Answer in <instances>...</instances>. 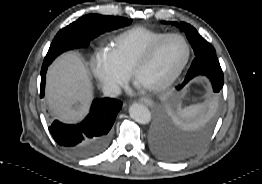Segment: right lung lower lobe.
<instances>
[{"label": "right lung lower lobe", "instance_id": "1", "mask_svg": "<svg viewBox=\"0 0 262 184\" xmlns=\"http://www.w3.org/2000/svg\"><path fill=\"white\" fill-rule=\"evenodd\" d=\"M47 65L41 69L40 96H44ZM122 103L116 99H95L90 113L79 124L67 125L52 121L49 131L55 141L68 152L79 157H93L102 153L111 140V128Z\"/></svg>", "mask_w": 262, "mask_h": 184}]
</instances>
